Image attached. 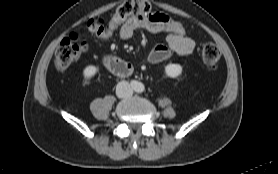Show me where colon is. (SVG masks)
Wrapping results in <instances>:
<instances>
[{
    "label": "colon",
    "mask_w": 278,
    "mask_h": 174,
    "mask_svg": "<svg viewBox=\"0 0 278 174\" xmlns=\"http://www.w3.org/2000/svg\"><path fill=\"white\" fill-rule=\"evenodd\" d=\"M151 10L146 0H126L115 11L113 17L106 24L103 19H92L88 22V29L91 33L108 38L114 35L120 25L130 16L147 14ZM164 24L172 32L187 36L185 26L178 20L171 17L163 19ZM87 51V44L80 40L76 34H71L59 44L55 53V66L59 70L67 69L76 62L83 53ZM202 61L208 69H214L220 59V50L213 43H207L202 49Z\"/></svg>",
    "instance_id": "5ec220e1"
}]
</instances>
